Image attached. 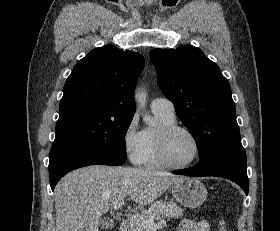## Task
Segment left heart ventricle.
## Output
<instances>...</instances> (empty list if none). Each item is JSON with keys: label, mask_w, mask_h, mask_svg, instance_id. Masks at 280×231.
<instances>
[{"label": "left heart ventricle", "mask_w": 280, "mask_h": 231, "mask_svg": "<svg viewBox=\"0 0 280 231\" xmlns=\"http://www.w3.org/2000/svg\"><path fill=\"white\" fill-rule=\"evenodd\" d=\"M196 150L194 139L182 131L174 133L167 141L168 156L176 164L191 162L196 156Z\"/></svg>", "instance_id": "left-heart-ventricle-1"}]
</instances>
